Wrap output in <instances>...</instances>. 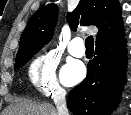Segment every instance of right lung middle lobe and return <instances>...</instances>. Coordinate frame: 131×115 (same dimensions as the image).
<instances>
[{"label": "right lung middle lobe", "mask_w": 131, "mask_h": 115, "mask_svg": "<svg viewBox=\"0 0 131 115\" xmlns=\"http://www.w3.org/2000/svg\"><path fill=\"white\" fill-rule=\"evenodd\" d=\"M38 50H29L25 52L23 55L16 57V62H15V69L22 67L25 65L28 60L35 54L37 53Z\"/></svg>", "instance_id": "obj_1"}]
</instances>
